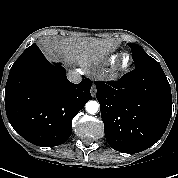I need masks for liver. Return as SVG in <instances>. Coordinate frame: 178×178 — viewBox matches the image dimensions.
<instances>
[{"instance_id": "1", "label": "liver", "mask_w": 178, "mask_h": 178, "mask_svg": "<svg viewBox=\"0 0 178 178\" xmlns=\"http://www.w3.org/2000/svg\"><path fill=\"white\" fill-rule=\"evenodd\" d=\"M114 43L97 38H67L46 45L53 57H65L67 62L78 61L82 66L97 63L112 50Z\"/></svg>"}]
</instances>
